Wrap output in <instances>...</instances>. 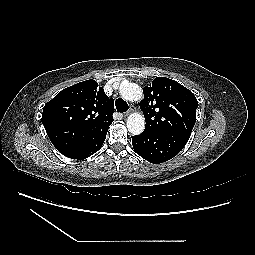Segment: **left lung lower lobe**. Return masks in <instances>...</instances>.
<instances>
[{
	"label": "left lung lower lobe",
	"instance_id": "0a47b994",
	"mask_svg": "<svg viewBox=\"0 0 255 255\" xmlns=\"http://www.w3.org/2000/svg\"><path fill=\"white\" fill-rule=\"evenodd\" d=\"M190 135L144 130L132 138L134 151L145 160L159 164L175 157L186 145Z\"/></svg>",
	"mask_w": 255,
	"mask_h": 255
}]
</instances>
